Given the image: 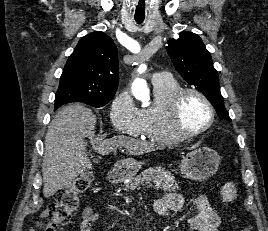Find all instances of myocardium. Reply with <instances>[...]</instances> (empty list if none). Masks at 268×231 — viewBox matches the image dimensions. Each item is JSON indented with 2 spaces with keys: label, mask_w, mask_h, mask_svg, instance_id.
<instances>
[{
  "label": "myocardium",
  "mask_w": 268,
  "mask_h": 231,
  "mask_svg": "<svg viewBox=\"0 0 268 231\" xmlns=\"http://www.w3.org/2000/svg\"><path fill=\"white\" fill-rule=\"evenodd\" d=\"M193 94L199 97L208 107L210 112L209 121L194 131H184L180 127V110L181 103L185 96ZM169 126L173 134L179 139H187L198 136L208 130L215 121V108L210 99L200 90L195 88H181L170 100L168 113Z\"/></svg>",
  "instance_id": "obj_1"
}]
</instances>
